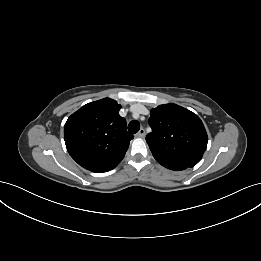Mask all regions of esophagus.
Listing matches in <instances>:
<instances>
[{
	"label": "esophagus",
	"instance_id": "1",
	"mask_svg": "<svg viewBox=\"0 0 261 261\" xmlns=\"http://www.w3.org/2000/svg\"><path fill=\"white\" fill-rule=\"evenodd\" d=\"M137 137L143 138L145 136V129L141 128L136 134Z\"/></svg>",
	"mask_w": 261,
	"mask_h": 261
}]
</instances>
